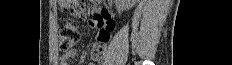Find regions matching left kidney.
<instances>
[{
    "label": "left kidney",
    "mask_w": 232,
    "mask_h": 65,
    "mask_svg": "<svg viewBox=\"0 0 232 65\" xmlns=\"http://www.w3.org/2000/svg\"><path fill=\"white\" fill-rule=\"evenodd\" d=\"M136 0H116V7L118 12L126 11L132 8Z\"/></svg>",
    "instance_id": "5707ae66"
}]
</instances>
